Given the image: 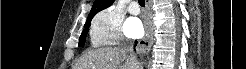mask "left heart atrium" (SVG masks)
<instances>
[{"label": "left heart atrium", "instance_id": "left-heart-atrium-1", "mask_svg": "<svg viewBox=\"0 0 246 69\" xmlns=\"http://www.w3.org/2000/svg\"><path fill=\"white\" fill-rule=\"evenodd\" d=\"M144 32L143 25L138 18L131 17L125 22V33L128 37H140Z\"/></svg>", "mask_w": 246, "mask_h": 69}]
</instances>
